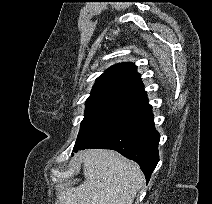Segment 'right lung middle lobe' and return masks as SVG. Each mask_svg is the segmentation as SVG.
I'll list each match as a JSON object with an SVG mask.
<instances>
[{"mask_svg": "<svg viewBox=\"0 0 212 204\" xmlns=\"http://www.w3.org/2000/svg\"><path fill=\"white\" fill-rule=\"evenodd\" d=\"M85 115L74 149L98 144L126 127L145 105L117 100L86 103Z\"/></svg>", "mask_w": 212, "mask_h": 204, "instance_id": "right-lung-middle-lobe-1", "label": "right lung middle lobe"}]
</instances>
